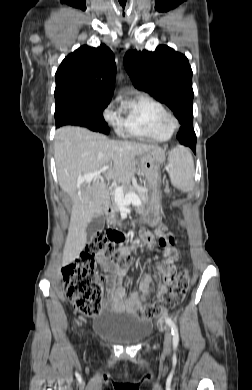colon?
Here are the masks:
<instances>
[{
	"mask_svg": "<svg viewBox=\"0 0 252 390\" xmlns=\"http://www.w3.org/2000/svg\"><path fill=\"white\" fill-rule=\"evenodd\" d=\"M121 239L120 231L114 229L97 234L88 249L63 269L67 297L85 316L93 317L101 311L104 288L97 271V261L109 260L121 268L131 263L129 254L116 247ZM168 275L174 277L175 284L158 301L137 307L135 312L138 317L149 318L161 314L182 302L190 285L188 272L182 270L176 277V272L170 270Z\"/></svg>",
	"mask_w": 252,
	"mask_h": 390,
	"instance_id": "5ec220e1",
	"label": "colon"
}]
</instances>
